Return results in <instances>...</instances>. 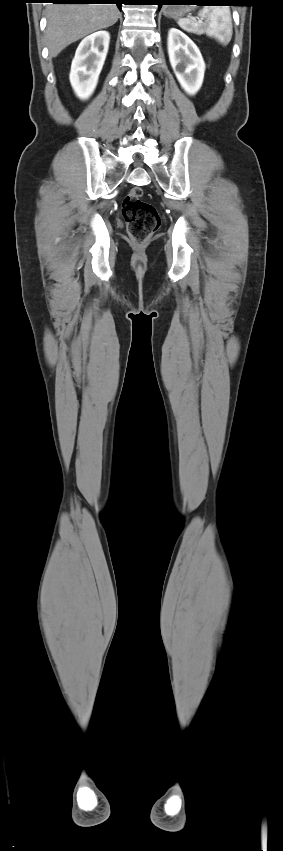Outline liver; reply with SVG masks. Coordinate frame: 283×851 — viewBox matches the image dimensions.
I'll use <instances>...</instances> for the list:
<instances>
[{
  "mask_svg": "<svg viewBox=\"0 0 283 851\" xmlns=\"http://www.w3.org/2000/svg\"><path fill=\"white\" fill-rule=\"evenodd\" d=\"M46 10L45 38L51 58L79 39L114 25L120 14L115 4H50Z\"/></svg>",
  "mask_w": 283,
  "mask_h": 851,
  "instance_id": "1",
  "label": "liver"
}]
</instances>
